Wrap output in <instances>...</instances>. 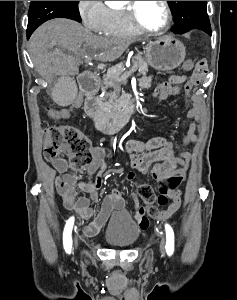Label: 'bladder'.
<instances>
[{
	"label": "bladder",
	"mask_w": 237,
	"mask_h": 300,
	"mask_svg": "<svg viewBox=\"0 0 237 300\" xmlns=\"http://www.w3.org/2000/svg\"><path fill=\"white\" fill-rule=\"evenodd\" d=\"M140 232L134 219L127 212H122L110 220L104 232V239L111 246L126 248L138 241Z\"/></svg>",
	"instance_id": "1"
}]
</instances>
